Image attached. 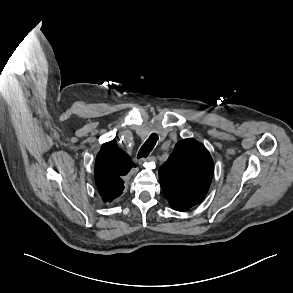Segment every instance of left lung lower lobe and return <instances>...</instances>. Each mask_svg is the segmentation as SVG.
I'll return each instance as SVG.
<instances>
[{
    "mask_svg": "<svg viewBox=\"0 0 293 293\" xmlns=\"http://www.w3.org/2000/svg\"><path fill=\"white\" fill-rule=\"evenodd\" d=\"M174 210H177V211H182V210H180V209H177V208H173Z\"/></svg>",
    "mask_w": 293,
    "mask_h": 293,
    "instance_id": "1",
    "label": "left lung lower lobe"
}]
</instances>
